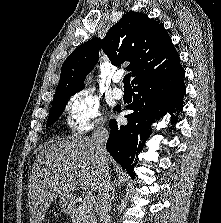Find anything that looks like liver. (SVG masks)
<instances>
[{"mask_svg":"<svg viewBox=\"0 0 221 223\" xmlns=\"http://www.w3.org/2000/svg\"><path fill=\"white\" fill-rule=\"evenodd\" d=\"M108 164L112 158L107 156ZM100 167L92 138L60 140L45 147L33 163L29 178L30 223H42L50 204L76 191L99 188Z\"/></svg>","mask_w":221,"mask_h":223,"instance_id":"1","label":"liver"}]
</instances>
